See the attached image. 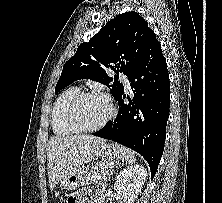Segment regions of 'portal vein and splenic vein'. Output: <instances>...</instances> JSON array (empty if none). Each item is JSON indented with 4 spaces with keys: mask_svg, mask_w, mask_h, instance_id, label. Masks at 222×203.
Wrapping results in <instances>:
<instances>
[{
    "mask_svg": "<svg viewBox=\"0 0 222 203\" xmlns=\"http://www.w3.org/2000/svg\"><path fill=\"white\" fill-rule=\"evenodd\" d=\"M114 166V164L112 163V164H110V167H113Z\"/></svg>",
    "mask_w": 222,
    "mask_h": 203,
    "instance_id": "portal-vein-and-splenic-vein-1",
    "label": "portal vein and splenic vein"
}]
</instances>
